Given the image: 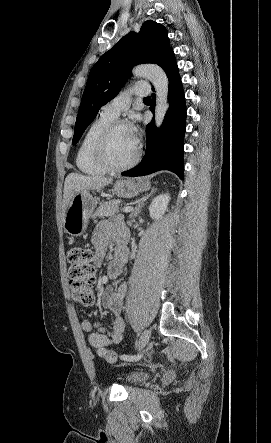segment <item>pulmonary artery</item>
<instances>
[{"label": "pulmonary artery", "mask_w": 271, "mask_h": 443, "mask_svg": "<svg viewBox=\"0 0 271 443\" xmlns=\"http://www.w3.org/2000/svg\"><path fill=\"white\" fill-rule=\"evenodd\" d=\"M144 96L147 93L141 90H138L136 87L130 89L127 92H124L111 101L107 102L101 107L100 114L116 117L119 113L125 109H127L130 105L131 95Z\"/></svg>", "instance_id": "pulmonary-artery-1"}]
</instances>
